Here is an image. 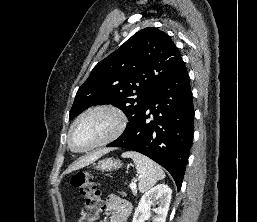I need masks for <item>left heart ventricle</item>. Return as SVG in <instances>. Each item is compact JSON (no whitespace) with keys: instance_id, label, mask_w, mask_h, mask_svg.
<instances>
[{"instance_id":"b2bd125f","label":"left heart ventricle","mask_w":257,"mask_h":222,"mask_svg":"<svg viewBox=\"0 0 257 222\" xmlns=\"http://www.w3.org/2000/svg\"><path fill=\"white\" fill-rule=\"evenodd\" d=\"M114 119L107 113L84 117L74 128L72 143L76 149L88 148L104 139L113 129Z\"/></svg>"}]
</instances>
